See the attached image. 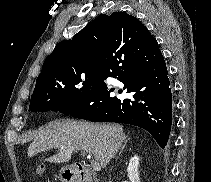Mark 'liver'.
Returning a JSON list of instances; mask_svg holds the SVG:
<instances>
[{"label":"liver","mask_w":211,"mask_h":182,"mask_svg":"<svg viewBox=\"0 0 211 182\" xmlns=\"http://www.w3.org/2000/svg\"><path fill=\"white\" fill-rule=\"evenodd\" d=\"M125 134L123 127L116 124H99L75 120H55L46 125L35 136L28 147V156L50 149L58 153L47 161L66 163L72 152L83 150L92 154L102 168H105L120 149Z\"/></svg>","instance_id":"obj_1"}]
</instances>
